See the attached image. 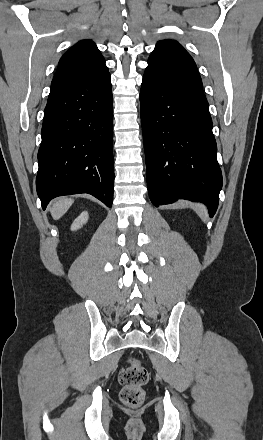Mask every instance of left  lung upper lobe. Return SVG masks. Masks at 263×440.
<instances>
[{"label": "left lung upper lobe", "instance_id": "left-lung-upper-lobe-1", "mask_svg": "<svg viewBox=\"0 0 263 440\" xmlns=\"http://www.w3.org/2000/svg\"><path fill=\"white\" fill-rule=\"evenodd\" d=\"M169 43H175V44L180 45L178 42L173 41V40H163V41H159V42L156 44V47H155L154 51L151 53V55H150V57H149V60H153V59H155V58L159 55L161 49H163L164 47H166ZM180 46H181V45H180ZM181 47H182V46H181Z\"/></svg>", "mask_w": 263, "mask_h": 440}]
</instances>
